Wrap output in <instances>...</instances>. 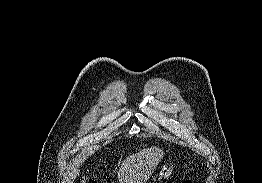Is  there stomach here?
Instances as JSON below:
<instances>
[{"mask_svg": "<svg viewBox=\"0 0 262 183\" xmlns=\"http://www.w3.org/2000/svg\"><path fill=\"white\" fill-rule=\"evenodd\" d=\"M173 174V166L169 163H164L157 174L159 180H168Z\"/></svg>", "mask_w": 262, "mask_h": 183, "instance_id": "1", "label": "stomach"}]
</instances>
